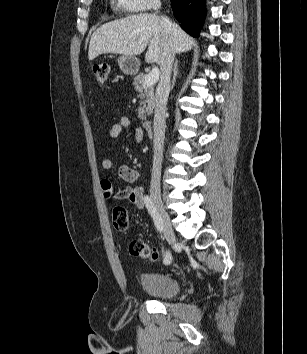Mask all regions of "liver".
Listing matches in <instances>:
<instances>
[{
	"label": "liver",
	"mask_w": 307,
	"mask_h": 354,
	"mask_svg": "<svg viewBox=\"0 0 307 354\" xmlns=\"http://www.w3.org/2000/svg\"><path fill=\"white\" fill-rule=\"evenodd\" d=\"M163 29L161 17L155 14L131 15L106 23L92 34L88 59L92 61L105 53L136 56L148 45L145 61L159 64L164 45ZM170 38L174 53L187 52L195 45V40L172 22Z\"/></svg>",
	"instance_id": "1"
}]
</instances>
